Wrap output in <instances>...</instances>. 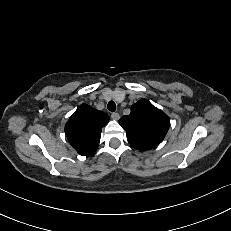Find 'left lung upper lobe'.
<instances>
[{"label":"left lung upper lobe","mask_w":231,"mask_h":231,"mask_svg":"<svg viewBox=\"0 0 231 231\" xmlns=\"http://www.w3.org/2000/svg\"><path fill=\"white\" fill-rule=\"evenodd\" d=\"M119 123L126 130L130 145L145 151L164 139L170 120L148 100L141 99L131 107V113L123 116Z\"/></svg>","instance_id":"obj_1"}]
</instances>
